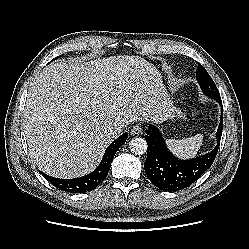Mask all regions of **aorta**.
<instances>
[{"instance_id": "762f6f07", "label": "aorta", "mask_w": 249, "mask_h": 249, "mask_svg": "<svg viewBox=\"0 0 249 249\" xmlns=\"http://www.w3.org/2000/svg\"><path fill=\"white\" fill-rule=\"evenodd\" d=\"M147 142L144 138L135 137L129 143L130 151L135 155H143L147 151Z\"/></svg>"}]
</instances>
